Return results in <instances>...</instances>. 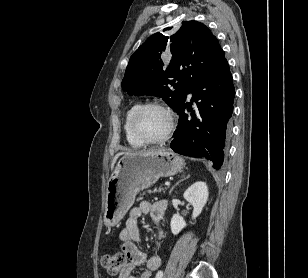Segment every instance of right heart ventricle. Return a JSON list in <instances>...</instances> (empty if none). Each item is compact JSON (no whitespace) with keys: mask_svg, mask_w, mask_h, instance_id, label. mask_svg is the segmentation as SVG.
<instances>
[{"mask_svg":"<svg viewBox=\"0 0 308 278\" xmlns=\"http://www.w3.org/2000/svg\"><path fill=\"white\" fill-rule=\"evenodd\" d=\"M140 103H134L132 104L126 111L124 116V122H123V128L126 140L128 144L134 148H139L144 146L145 144L141 142L132 132L130 127V118L133 112L140 106Z\"/></svg>","mask_w":308,"mask_h":278,"instance_id":"obj_1","label":"right heart ventricle"}]
</instances>
